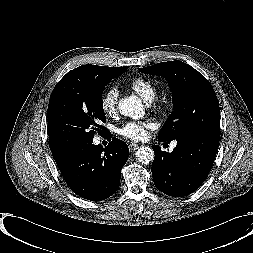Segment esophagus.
<instances>
[{"label":"esophagus","mask_w":253,"mask_h":253,"mask_svg":"<svg viewBox=\"0 0 253 253\" xmlns=\"http://www.w3.org/2000/svg\"><path fill=\"white\" fill-rule=\"evenodd\" d=\"M139 148V145L138 144H135V143H130L129 144V150L131 151V152H134L136 149H138Z\"/></svg>","instance_id":"34e87169"}]
</instances>
